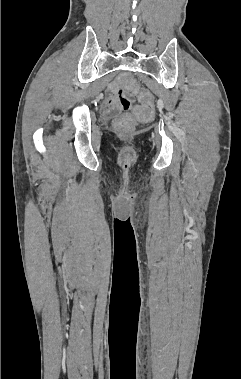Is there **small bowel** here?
Wrapping results in <instances>:
<instances>
[{
    "instance_id": "1",
    "label": "small bowel",
    "mask_w": 241,
    "mask_h": 379,
    "mask_svg": "<svg viewBox=\"0 0 241 379\" xmlns=\"http://www.w3.org/2000/svg\"><path fill=\"white\" fill-rule=\"evenodd\" d=\"M116 93H117L116 86L112 85L108 91V94L105 100V107L107 109L114 107L115 101H116Z\"/></svg>"
}]
</instances>
